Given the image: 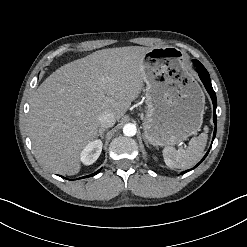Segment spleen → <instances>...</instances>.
I'll list each match as a JSON object with an SVG mask.
<instances>
[{"mask_svg":"<svg viewBox=\"0 0 247 247\" xmlns=\"http://www.w3.org/2000/svg\"><path fill=\"white\" fill-rule=\"evenodd\" d=\"M208 127L197 137H193L186 149L177 150L174 147H165L163 157L166 165L170 168L186 169L197 163L203 156V151L207 144Z\"/></svg>","mask_w":247,"mask_h":247,"instance_id":"1","label":"spleen"}]
</instances>
